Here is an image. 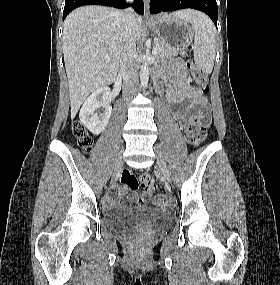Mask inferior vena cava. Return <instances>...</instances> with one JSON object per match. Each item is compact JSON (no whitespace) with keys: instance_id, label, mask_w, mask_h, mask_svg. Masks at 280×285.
Returning a JSON list of instances; mask_svg holds the SVG:
<instances>
[{"instance_id":"1","label":"inferior vena cava","mask_w":280,"mask_h":285,"mask_svg":"<svg viewBox=\"0 0 280 285\" xmlns=\"http://www.w3.org/2000/svg\"><path fill=\"white\" fill-rule=\"evenodd\" d=\"M123 49L120 55V71L124 78L123 95L134 94L138 79V64L136 61L135 15L131 9L123 12Z\"/></svg>"}]
</instances>
